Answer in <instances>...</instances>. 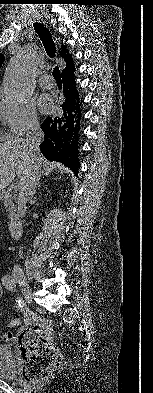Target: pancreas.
I'll return each mask as SVG.
<instances>
[{"instance_id": "obj_1", "label": "pancreas", "mask_w": 153, "mask_h": 393, "mask_svg": "<svg viewBox=\"0 0 153 393\" xmlns=\"http://www.w3.org/2000/svg\"><path fill=\"white\" fill-rule=\"evenodd\" d=\"M13 200H14V197L11 196L9 199H7L5 201V204L8 207V211H10V215L9 216H12V214H13L12 210H14V207H12V205H11V201H13Z\"/></svg>"}]
</instances>
